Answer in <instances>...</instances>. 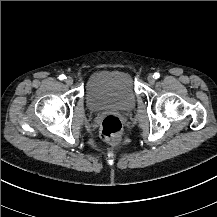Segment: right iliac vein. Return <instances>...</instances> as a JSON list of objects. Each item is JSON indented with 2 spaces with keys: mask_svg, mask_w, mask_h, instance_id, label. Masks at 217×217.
<instances>
[{
  "mask_svg": "<svg viewBox=\"0 0 217 217\" xmlns=\"http://www.w3.org/2000/svg\"><path fill=\"white\" fill-rule=\"evenodd\" d=\"M65 82H66V84H67L68 86H70V85L73 84V78L67 77L66 80H65Z\"/></svg>",
  "mask_w": 217,
  "mask_h": 217,
  "instance_id": "right-iliac-vein-1",
  "label": "right iliac vein"
}]
</instances>
